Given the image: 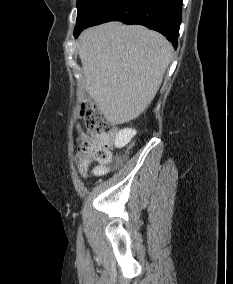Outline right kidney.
Listing matches in <instances>:
<instances>
[{"instance_id": "ca27d5eb", "label": "right kidney", "mask_w": 233, "mask_h": 284, "mask_svg": "<svg viewBox=\"0 0 233 284\" xmlns=\"http://www.w3.org/2000/svg\"><path fill=\"white\" fill-rule=\"evenodd\" d=\"M136 130L134 129H123L120 130L115 137V146L118 148L127 145L131 139L136 135Z\"/></svg>"}]
</instances>
